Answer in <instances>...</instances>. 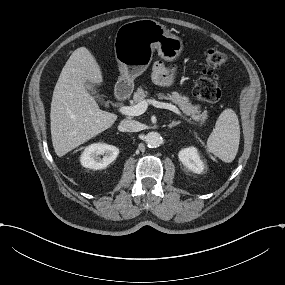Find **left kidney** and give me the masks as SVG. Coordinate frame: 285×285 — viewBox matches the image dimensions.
<instances>
[{"label":"left kidney","mask_w":285,"mask_h":285,"mask_svg":"<svg viewBox=\"0 0 285 285\" xmlns=\"http://www.w3.org/2000/svg\"><path fill=\"white\" fill-rule=\"evenodd\" d=\"M178 157L182 164L192 172L200 174L204 171L205 164L200 159L195 147H188L180 150Z\"/></svg>","instance_id":"1"}]
</instances>
